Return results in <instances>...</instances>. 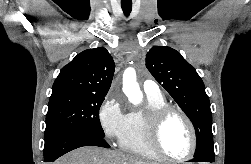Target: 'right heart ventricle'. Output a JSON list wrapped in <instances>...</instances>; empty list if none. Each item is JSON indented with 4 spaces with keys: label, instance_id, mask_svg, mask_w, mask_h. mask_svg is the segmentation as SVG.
<instances>
[{
    "label": "right heart ventricle",
    "instance_id": "1",
    "mask_svg": "<svg viewBox=\"0 0 251 164\" xmlns=\"http://www.w3.org/2000/svg\"><path fill=\"white\" fill-rule=\"evenodd\" d=\"M166 105L168 104L162 95L147 96L145 110L128 113L125 129L119 139L120 148L138 157L160 160L148 140L147 114Z\"/></svg>",
    "mask_w": 251,
    "mask_h": 164
}]
</instances>
